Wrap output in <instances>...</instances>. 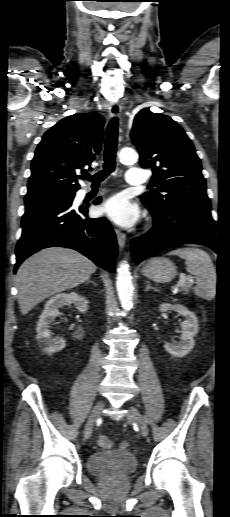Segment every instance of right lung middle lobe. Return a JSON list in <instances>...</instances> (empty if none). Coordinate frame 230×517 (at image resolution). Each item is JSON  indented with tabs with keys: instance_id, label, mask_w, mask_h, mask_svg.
<instances>
[{
	"instance_id": "obj_1",
	"label": "right lung middle lobe",
	"mask_w": 230,
	"mask_h": 517,
	"mask_svg": "<svg viewBox=\"0 0 230 517\" xmlns=\"http://www.w3.org/2000/svg\"><path fill=\"white\" fill-rule=\"evenodd\" d=\"M73 198H74V194L60 195V196H54V197L46 198V199H43V200L35 202V203L54 202V203H64V204H66V203H72Z\"/></svg>"
}]
</instances>
